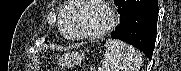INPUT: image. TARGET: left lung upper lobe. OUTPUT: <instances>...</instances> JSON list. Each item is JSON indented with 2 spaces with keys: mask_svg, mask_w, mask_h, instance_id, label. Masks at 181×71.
<instances>
[{
  "mask_svg": "<svg viewBox=\"0 0 181 71\" xmlns=\"http://www.w3.org/2000/svg\"><path fill=\"white\" fill-rule=\"evenodd\" d=\"M119 0H114L115 4L118 2Z\"/></svg>",
  "mask_w": 181,
  "mask_h": 71,
  "instance_id": "5c2ea615",
  "label": "left lung upper lobe"
}]
</instances>
